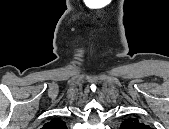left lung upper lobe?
Segmentation results:
<instances>
[{
	"mask_svg": "<svg viewBox=\"0 0 169 129\" xmlns=\"http://www.w3.org/2000/svg\"><path fill=\"white\" fill-rule=\"evenodd\" d=\"M149 128H150L149 126L139 122L137 118L125 119L120 126V129H149Z\"/></svg>",
	"mask_w": 169,
	"mask_h": 129,
	"instance_id": "1",
	"label": "left lung upper lobe"
}]
</instances>
